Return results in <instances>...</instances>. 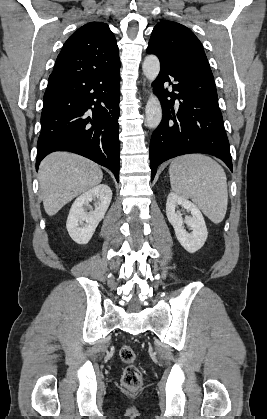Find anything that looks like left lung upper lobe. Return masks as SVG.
I'll return each mask as SVG.
<instances>
[{
	"mask_svg": "<svg viewBox=\"0 0 267 419\" xmlns=\"http://www.w3.org/2000/svg\"><path fill=\"white\" fill-rule=\"evenodd\" d=\"M147 53L155 54L160 63L213 76L201 42L189 28L177 22L162 20L154 27Z\"/></svg>",
	"mask_w": 267,
	"mask_h": 419,
	"instance_id": "left-lung-upper-lobe-1",
	"label": "left lung upper lobe"
}]
</instances>
